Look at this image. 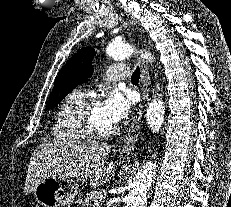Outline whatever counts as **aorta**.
I'll use <instances>...</instances> for the list:
<instances>
[{"label":"aorta","instance_id":"762f6f07","mask_svg":"<svg viewBox=\"0 0 231 207\" xmlns=\"http://www.w3.org/2000/svg\"><path fill=\"white\" fill-rule=\"evenodd\" d=\"M137 50L126 43H111L106 48V54L114 60H123L133 56ZM143 59L150 60L149 53H142ZM165 114L164 102L161 98L153 99L146 111L147 125L153 132L159 131L163 124ZM157 164L149 161L138 171L131 184L127 196L126 207H146L148 190L156 177Z\"/></svg>","mask_w":231,"mask_h":207}]
</instances>
